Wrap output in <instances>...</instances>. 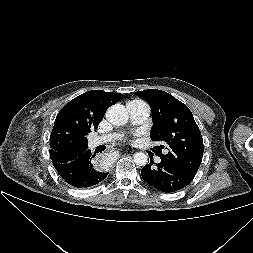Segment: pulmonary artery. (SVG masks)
I'll return each instance as SVG.
<instances>
[{
  "instance_id": "obj_1",
  "label": "pulmonary artery",
  "mask_w": 253,
  "mask_h": 253,
  "mask_svg": "<svg viewBox=\"0 0 253 253\" xmlns=\"http://www.w3.org/2000/svg\"><path fill=\"white\" fill-rule=\"evenodd\" d=\"M126 106L133 124L145 122L150 115V107L143 101L132 100L127 102ZM117 137L118 134L116 133L94 137L89 141V147L93 149L101 144L109 143ZM156 161L160 162V158H157Z\"/></svg>"
}]
</instances>
